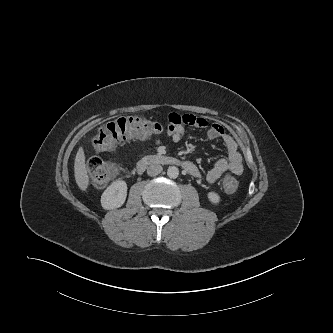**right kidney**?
Here are the masks:
<instances>
[{"label":"right kidney","instance_id":"ca27d5eb","mask_svg":"<svg viewBox=\"0 0 333 333\" xmlns=\"http://www.w3.org/2000/svg\"><path fill=\"white\" fill-rule=\"evenodd\" d=\"M127 196V184L123 180H117L109 185L101 196V205L106 210L121 207Z\"/></svg>","mask_w":333,"mask_h":333}]
</instances>
